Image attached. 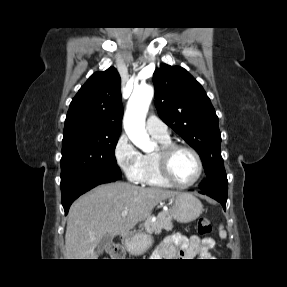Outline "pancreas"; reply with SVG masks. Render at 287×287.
I'll use <instances>...</instances> for the list:
<instances>
[{
    "label": "pancreas",
    "mask_w": 287,
    "mask_h": 287,
    "mask_svg": "<svg viewBox=\"0 0 287 287\" xmlns=\"http://www.w3.org/2000/svg\"><path fill=\"white\" fill-rule=\"evenodd\" d=\"M172 228V216L169 210L159 212L155 221L149 217L144 223V230L149 234H159L163 229L170 231Z\"/></svg>",
    "instance_id": "cf45deb5"
}]
</instances>
